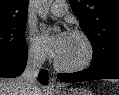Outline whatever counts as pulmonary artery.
<instances>
[{"label": "pulmonary artery", "instance_id": "1", "mask_svg": "<svg viewBox=\"0 0 119 95\" xmlns=\"http://www.w3.org/2000/svg\"><path fill=\"white\" fill-rule=\"evenodd\" d=\"M67 10V4L63 0L55 1L49 8V12L55 16H63Z\"/></svg>", "mask_w": 119, "mask_h": 95}]
</instances>
